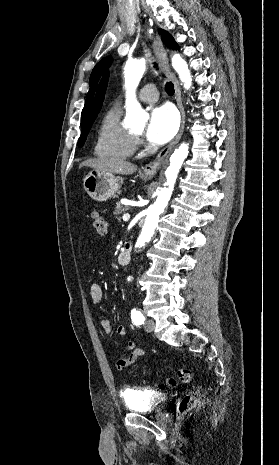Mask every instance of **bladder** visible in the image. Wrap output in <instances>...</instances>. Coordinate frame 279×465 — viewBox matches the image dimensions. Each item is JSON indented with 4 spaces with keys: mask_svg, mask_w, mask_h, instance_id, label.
Listing matches in <instances>:
<instances>
[{
    "mask_svg": "<svg viewBox=\"0 0 279 465\" xmlns=\"http://www.w3.org/2000/svg\"><path fill=\"white\" fill-rule=\"evenodd\" d=\"M123 400L131 412L151 413L162 410L168 402V396L157 391L129 387L124 389Z\"/></svg>",
    "mask_w": 279,
    "mask_h": 465,
    "instance_id": "obj_1",
    "label": "bladder"
}]
</instances>
